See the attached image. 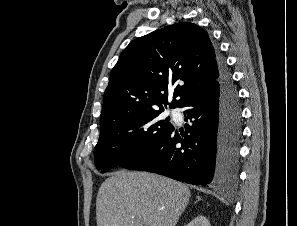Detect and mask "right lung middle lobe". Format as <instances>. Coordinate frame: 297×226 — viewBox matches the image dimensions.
<instances>
[{
    "mask_svg": "<svg viewBox=\"0 0 297 226\" xmlns=\"http://www.w3.org/2000/svg\"><path fill=\"white\" fill-rule=\"evenodd\" d=\"M163 111H149L102 128L94 149L96 168L107 172L124 167L149 152L174 128L169 118L163 119Z\"/></svg>",
    "mask_w": 297,
    "mask_h": 226,
    "instance_id": "right-lung-middle-lobe-1",
    "label": "right lung middle lobe"
}]
</instances>
